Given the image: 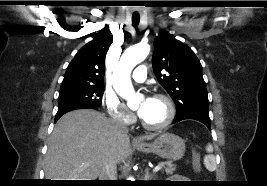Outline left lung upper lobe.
Wrapping results in <instances>:
<instances>
[{"instance_id":"1","label":"left lung upper lobe","mask_w":267,"mask_h":186,"mask_svg":"<svg viewBox=\"0 0 267 186\" xmlns=\"http://www.w3.org/2000/svg\"><path fill=\"white\" fill-rule=\"evenodd\" d=\"M153 71L177 106V115H208L209 101L202 66L194 52L168 32L154 40Z\"/></svg>"}]
</instances>
